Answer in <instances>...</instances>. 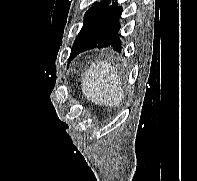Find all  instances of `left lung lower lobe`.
<instances>
[{"label": "left lung lower lobe", "instance_id": "left-lung-lower-lobe-1", "mask_svg": "<svg viewBox=\"0 0 197 181\" xmlns=\"http://www.w3.org/2000/svg\"><path fill=\"white\" fill-rule=\"evenodd\" d=\"M122 8L112 3L102 16L91 36L78 51V54L93 48L111 47L115 51H121L122 45L119 35Z\"/></svg>", "mask_w": 197, "mask_h": 181}]
</instances>
